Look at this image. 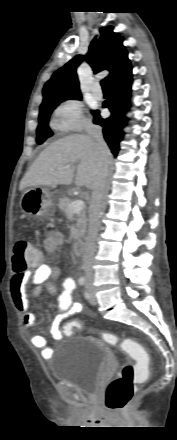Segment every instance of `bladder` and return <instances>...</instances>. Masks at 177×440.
I'll list each match as a JSON object with an SVG mask.
<instances>
[{"label":"bladder","mask_w":177,"mask_h":440,"mask_svg":"<svg viewBox=\"0 0 177 440\" xmlns=\"http://www.w3.org/2000/svg\"><path fill=\"white\" fill-rule=\"evenodd\" d=\"M109 350L97 338L79 337L72 346H61L53 357L50 374L54 381L72 385L88 395L97 392Z\"/></svg>","instance_id":"obj_1"}]
</instances>
